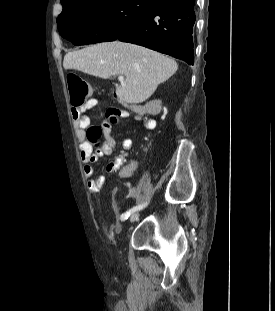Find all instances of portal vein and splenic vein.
<instances>
[{
	"instance_id": "18ae733b",
	"label": "portal vein and splenic vein",
	"mask_w": 275,
	"mask_h": 311,
	"mask_svg": "<svg viewBox=\"0 0 275 311\" xmlns=\"http://www.w3.org/2000/svg\"><path fill=\"white\" fill-rule=\"evenodd\" d=\"M118 80H119L120 82H123V81H124V76H123V75H119V76H118Z\"/></svg>"
}]
</instances>
